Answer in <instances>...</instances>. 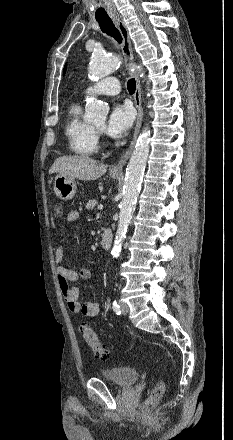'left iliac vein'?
<instances>
[{"instance_id": "1", "label": "left iliac vein", "mask_w": 233, "mask_h": 440, "mask_svg": "<svg viewBox=\"0 0 233 440\" xmlns=\"http://www.w3.org/2000/svg\"><path fill=\"white\" fill-rule=\"evenodd\" d=\"M120 308H121V312L123 314H128L129 313V306L126 303L121 302L120 303Z\"/></svg>"}]
</instances>
